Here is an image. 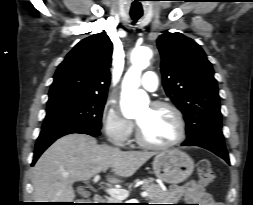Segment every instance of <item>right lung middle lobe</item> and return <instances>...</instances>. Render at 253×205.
<instances>
[{
  "label": "right lung middle lobe",
  "instance_id": "right-lung-middle-lobe-1",
  "mask_svg": "<svg viewBox=\"0 0 253 205\" xmlns=\"http://www.w3.org/2000/svg\"><path fill=\"white\" fill-rule=\"evenodd\" d=\"M106 97L67 96L47 103L42 130L61 127H81L100 130Z\"/></svg>",
  "mask_w": 253,
  "mask_h": 205
}]
</instances>
